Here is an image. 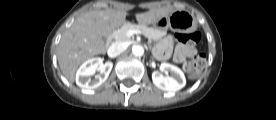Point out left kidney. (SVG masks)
Returning a JSON list of instances; mask_svg holds the SVG:
<instances>
[{
	"label": "left kidney",
	"mask_w": 276,
	"mask_h": 120,
	"mask_svg": "<svg viewBox=\"0 0 276 120\" xmlns=\"http://www.w3.org/2000/svg\"><path fill=\"white\" fill-rule=\"evenodd\" d=\"M160 69L170 72L172 76L164 77L160 72L154 71L152 73V81L156 87L166 92H176L185 86L184 73L177 66L163 62L160 65Z\"/></svg>",
	"instance_id": "1"
}]
</instances>
